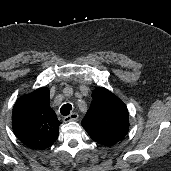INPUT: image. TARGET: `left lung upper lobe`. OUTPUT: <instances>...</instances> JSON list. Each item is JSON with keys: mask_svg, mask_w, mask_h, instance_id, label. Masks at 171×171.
Returning a JSON list of instances; mask_svg holds the SVG:
<instances>
[{"mask_svg": "<svg viewBox=\"0 0 171 171\" xmlns=\"http://www.w3.org/2000/svg\"><path fill=\"white\" fill-rule=\"evenodd\" d=\"M93 101L81 124L90 137L105 146L122 140L128 132V110L125 104L109 90L98 87L92 93Z\"/></svg>", "mask_w": 171, "mask_h": 171, "instance_id": "5c2ea615", "label": "left lung upper lobe"}]
</instances>
